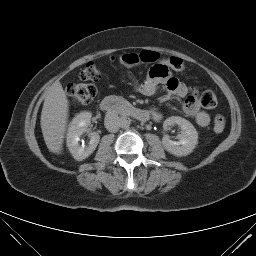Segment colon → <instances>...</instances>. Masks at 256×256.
I'll list each match as a JSON object with an SVG mask.
<instances>
[{
	"label": "colon",
	"mask_w": 256,
	"mask_h": 256,
	"mask_svg": "<svg viewBox=\"0 0 256 256\" xmlns=\"http://www.w3.org/2000/svg\"><path fill=\"white\" fill-rule=\"evenodd\" d=\"M159 59L158 53L154 51H142L141 53H127L118 58V61L126 66L137 65L139 63L156 62ZM164 62L175 71L184 70L183 61L177 57H170ZM100 77V71L94 62H88L80 72V79L86 81H97ZM68 96L77 103L89 104L97 95V88L89 83H71L67 86ZM217 97L212 91H205L200 96V104L207 109H213L217 106ZM225 129V117L221 114L216 115L214 119V131L221 133Z\"/></svg>",
	"instance_id": "5ec220e1"
}]
</instances>
